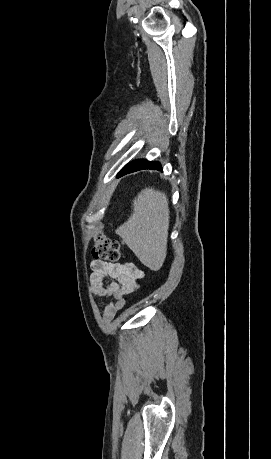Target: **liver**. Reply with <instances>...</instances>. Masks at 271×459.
Masks as SVG:
<instances>
[{
    "mask_svg": "<svg viewBox=\"0 0 271 459\" xmlns=\"http://www.w3.org/2000/svg\"><path fill=\"white\" fill-rule=\"evenodd\" d=\"M133 214L116 229L128 247L149 269L158 271L167 253L168 200L163 192L145 188L134 198Z\"/></svg>",
    "mask_w": 271,
    "mask_h": 459,
    "instance_id": "1",
    "label": "liver"
}]
</instances>
